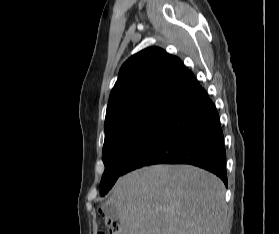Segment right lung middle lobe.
Here are the masks:
<instances>
[{
    "instance_id": "right-lung-middle-lobe-1",
    "label": "right lung middle lobe",
    "mask_w": 279,
    "mask_h": 234,
    "mask_svg": "<svg viewBox=\"0 0 279 234\" xmlns=\"http://www.w3.org/2000/svg\"><path fill=\"white\" fill-rule=\"evenodd\" d=\"M169 107L150 105L124 112L105 122L103 162L105 171L100 183L104 196L123 175L128 160L165 115Z\"/></svg>"
}]
</instances>
